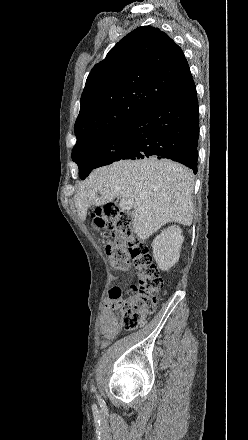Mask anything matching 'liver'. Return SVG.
Returning a JSON list of instances; mask_svg holds the SVG:
<instances>
[{"mask_svg": "<svg viewBox=\"0 0 248 440\" xmlns=\"http://www.w3.org/2000/svg\"><path fill=\"white\" fill-rule=\"evenodd\" d=\"M193 189L190 169L151 157L121 160L95 169L79 186L74 200L81 221L92 205L101 206L116 197L132 200L133 231L144 241L166 223L191 225Z\"/></svg>", "mask_w": 248, "mask_h": 440, "instance_id": "liver-1", "label": "liver"}]
</instances>
